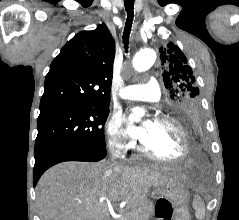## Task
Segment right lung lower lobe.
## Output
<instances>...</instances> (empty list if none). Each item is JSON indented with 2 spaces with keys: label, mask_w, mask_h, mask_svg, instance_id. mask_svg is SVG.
I'll return each mask as SVG.
<instances>
[{
  "label": "right lung lower lobe",
  "mask_w": 239,
  "mask_h": 220,
  "mask_svg": "<svg viewBox=\"0 0 239 220\" xmlns=\"http://www.w3.org/2000/svg\"><path fill=\"white\" fill-rule=\"evenodd\" d=\"M106 156V150H93L79 147L58 146L40 150L35 153L33 184L36 186L41 175L51 166L63 161L95 162Z\"/></svg>",
  "instance_id": "obj_1"
}]
</instances>
